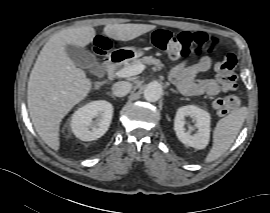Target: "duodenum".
Returning a JSON list of instances; mask_svg holds the SVG:
<instances>
[{"label":"duodenum","instance_id":"410a0bca","mask_svg":"<svg viewBox=\"0 0 270 213\" xmlns=\"http://www.w3.org/2000/svg\"><path fill=\"white\" fill-rule=\"evenodd\" d=\"M125 58L126 55L122 52H114L110 55L107 67L109 76L114 77L116 75L119 66L124 62Z\"/></svg>","mask_w":270,"mask_h":213}]
</instances>
